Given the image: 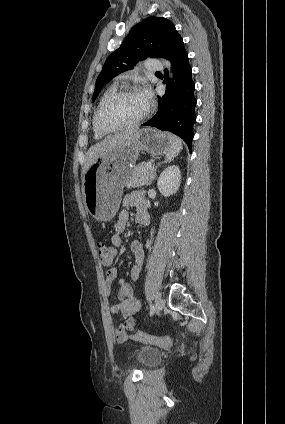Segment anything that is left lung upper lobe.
I'll return each instance as SVG.
<instances>
[{
    "mask_svg": "<svg viewBox=\"0 0 285 424\" xmlns=\"http://www.w3.org/2000/svg\"><path fill=\"white\" fill-rule=\"evenodd\" d=\"M178 38L174 24L162 17H149L135 25L120 48L105 61L96 80L93 102L110 80L132 69L138 61L148 56L168 58Z\"/></svg>",
    "mask_w": 285,
    "mask_h": 424,
    "instance_id": "left-lung-upper-lobe-1",
    "label": "left lung upper lobe"
}]
</instances>
